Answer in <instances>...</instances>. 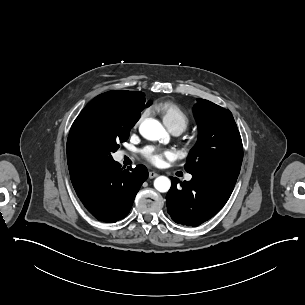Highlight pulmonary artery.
Instances as JSON below:
<instances>
[{
	"instance_id": "1",
	"label": "pulmonary artery",
	"mask_w": 305,
	"mask_h": 305,
	"mask_svg": "<svg viewBox=\"0 0 305 305\" xmlns=\"http://www.w3.org/2000/svg\"><path fill=\"white\" fill-rule=\"evenodd\" d=\"M170 131L174 134V135H180L182 132H183V129L180 128V127H174V128H171ZM192 175L191 174H188L186 175L185 179L187 181H190L192 180Z\"/></svg>"
}]
</instances>
